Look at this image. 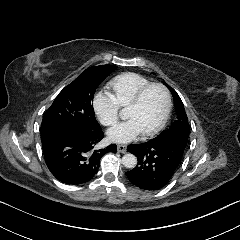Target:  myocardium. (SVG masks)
Masks as SVG:
<instances>
[{
    "label": "myocardium",
    "mask_w": 240,
    "mask_h": 240,
    "mask_svg": "<svg viewBox=\"0 0 240 240\" xmlns=\"http://www.w3.org/2000/svg\"><path fill=\"white\" fill-rule=\"evenodd\" d=\"M154 87L159 88L163 92L164 109H163L162 117H161L160 121L158 122V124L149 131L141 132L142 135L145 137H151V136L158 134L166 125V122L169 117L170 109H171V96H170V93H169V90L167 89V87L161 83H148L138 89V91L136 92L133 99L124 108V112L131 111V110L137 108L140 105L142 98H143L144 94L146 93V91H148L149 89L154 88Z\"/></svg>",
    "instance_id": "obj_1"
}]
</instances>
